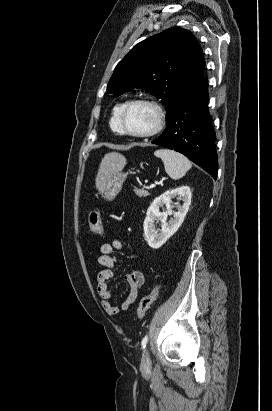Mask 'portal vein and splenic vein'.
Returning a JSON list of instances; mask_svg holds the SVG:
<instances>
[{
	"label": "portal vein and splenic vein",
	"mask_w": 272,
	"mask_h": 411,
	"mask_svg": "<svg viewBox=\"0 0 272 411\" xmlns=\"http://www.w3.org/2000/svg\"><path fill=\"white\" fill-rule=\"evenodd\" d=\"M157 184H159V183L156 182V183H154V184H151V185L149 186V188L152 189V188H154Z\"/></svg>",
	"instance_id": "obj_1"
}]
</instances>
